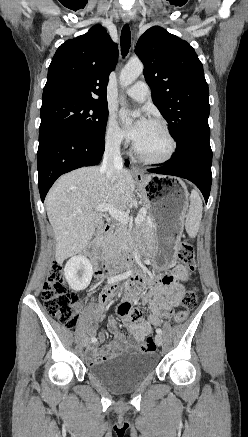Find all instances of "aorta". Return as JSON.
<instances>
[{
    "label": "aorta",
    "mask_w": 248,
    "mask_h": 437,
    "mask_svg": "<svg viewBox=\"0 0 248 437\" xmlns=\"http://www.w3.org/2000/svg\"><path fill=\"white\" fill-rule=\"evenodd\" d=\"M143 72V64L141 62H130L128 63L120 73V84L121 86L127 87L131 85Z\"/></svg>",
    "instance_id": "aorta-1"
}]
</instances>
